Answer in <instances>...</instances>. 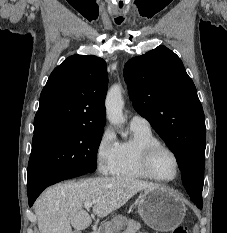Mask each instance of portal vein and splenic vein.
<instances>
[{
    "label": "portal vein and splenic vein",
    "mask_w": 227,
    "mask_h": 233,
    "mask_svg": "<svg viewBox=\"0 0 227 233\" xmlns=\"http://www.w3.org/2000/svg\"><path fill=\"white\" fill-rule=\"evenodd\" d=\"M94 203H96V201L87 202V203L84 204V208H85V209H89V208H91V206H92Z\"/></svg>",
    "instance_id": "18ae733b"
}]
</instances>
